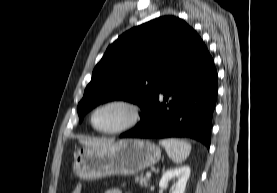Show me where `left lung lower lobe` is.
<instances>
[{"instance_id": "1", "label": "left lung lower lobe", "mask_w": 277, "mask_h": 193, "mask_svg": "<svg viewBox=\"0 0 277 193\" xmlns=\"http://www.w3.org/2000/svg\"><path fill=\"white\" fill-rule=\"evenodd\" d=\"M217 93L213 59L198 37L189 56L169 77L152 107L142 113L139 124L120 137H190L209 148Z\"/></svg>"}]
</instances>
